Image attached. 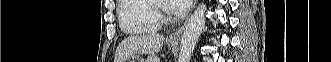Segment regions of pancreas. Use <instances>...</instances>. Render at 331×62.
<instances>
[{
  "mask_svg": "<svg viewBox=\"0 0 331 62\" xmlns=\"http://www.w3.org/2000/svg\"><path fill=\"white\" fill-rule=\"evenodd\" d=\"M155 59H158V58H156L155 56H149L146 61L147 62H158V61H155Z\"/></svg>",
  "mask_w": 331,
  "mask_h": 62,
  "instance_id": "1",
  "label": "pancreas"
}]
</instances>
